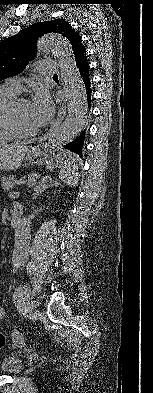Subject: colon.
Listing matches in <instances>:
<instances>
[{
	"label": "colon",
	"instance_id": "colon-1",
	"mask_svg": "<svg viewBox=\"0 0 153 393\" xmlns=\"http://www.w3.org/2000/svg\"><path fill=\"white\" fill-rule=\"evenodd\" d=\"M6 341H7L6 337L0 334V349L5 346Z\"/></svg>",
	"mask_w": 153,
	"mask_h": 393
}]
</instances>
